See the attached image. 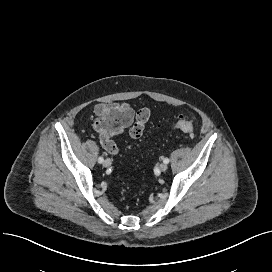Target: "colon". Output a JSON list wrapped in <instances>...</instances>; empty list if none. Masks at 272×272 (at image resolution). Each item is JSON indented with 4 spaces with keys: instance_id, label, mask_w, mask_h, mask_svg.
<instances>
[{
    "instance_id": "1",
    "label": "colon",
    "mask_w": 272,
    "mask_h": 272,
    "mask_svg": "<svg viewBox=\"0 0 272 272\" xmlns=\"http://www.w3.org/2000/svg\"><path fill=\"white\" fill-rule=\"evenodd\" d=\"M147 118L148 115L146 113H140L136 116L129 130V134L132 138L139 139L142 136ZM130 119L131 116L128 112L123 111L117 106L107 105L100 111L94 127L99 133L100 139H103L108 135L123 131V129L128 126ZM173 128L190 136L195 132L194 122L183 116L176 120L173 124Z\"/></svg>"
}]
</instances>
